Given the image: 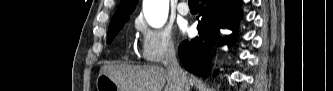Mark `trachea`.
I'll list each match as a JSON object with an SVG mask.
<instances>
[{
	"label": "trachea",
	"instance_id": "obj_1",
	"mask_svg": "<svg viewBox=\"0 0 333 91\" xmlns=\"http://www.w3.org/2000/svg\"><path fill=\"white\" fill-rule=\"evenodd\" d=\"M199 2L198 0H188V3H197Z\"/></svg>",
	"mask_w": 333,
	"mask_h": 91
}]
</instances>
